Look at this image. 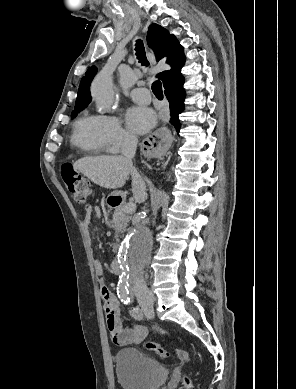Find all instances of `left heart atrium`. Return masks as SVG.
Returning <instances> with one entry per match:
<instances>
[{
    "instance_id": "obj_1",
    "label": "left heart atrium",
    "mask_w": 296,
    "mask_h": 389,
    "mask_svg": "<svg viewBox=\"0 0 296 389\" xmlns=\"http://www.w3.org/2000/svg\"><path fill=\"white\" fill-rule=\"evenodd\" d=\"M126 119L130 129L137 134H144L151 130L156 121L153 110L145 106L130 107Z\"/></svg>"
}]
</instances>
